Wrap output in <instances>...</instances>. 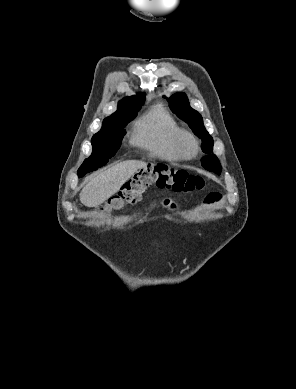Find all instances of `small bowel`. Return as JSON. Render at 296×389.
<instances>
[{"instance_id": "1", "label": "small bowel", "mask_w": 296, "mask_h": 389, "mask_svg": "<svg viewBox=\"0 0 296 389\" xmlns=\"http://www.w3.org/2000/svg\"><path fill=\"white\" fill-rule=\"evenodd\" d=\"M220 198H221V197H220V195H218V194H210V195L206 198L205 203H206V204H212V203H214V202L219 201ZM164 204H165L166 206L170 207L171 209L174 208V204H173L172 202H170L169 200H165V201H164Z\"/></svg>"}]
</instances>
